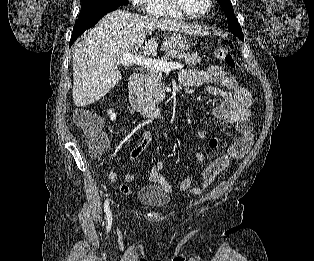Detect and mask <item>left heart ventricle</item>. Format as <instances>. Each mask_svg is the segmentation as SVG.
I'll list each match as a JSON object with an SVG mask.
<instances>
[{
  "label": "left heart ventricle",
  "mask_w": 314,
  "mask_h": 261,
  "mask_svg": "<svg viewBox=\"0 0 314 261\" xmlns=\"http://www.w3.org/2000/svg\"><path fill=\"white\" fill-rule=\"evenodd\" d=\"M184 8L193 14H201L208 7V0H181Z\"/></svg>",
  "instance_id": "b2bd125f"
}]
</instances>
